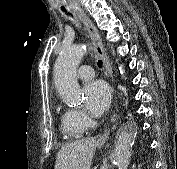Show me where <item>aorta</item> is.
I'll return each mask as SVG.
<instances>
[{
	"instance_id": "aorta-1",
	"label": "aorta",
	"mask_w": 177,
	"mask_h": 169,
	"mask_svg": "<svg viewBox=\"0 0 177 169\" xmlns=\"http://www.w3.org/2000/svg\"><path fill=\"white\" fill-rule=\"evenodd\" d=\"M83 44L64 46L54 66V83L60 98L67 104L79 105L81 89L77 81L76 71L86 53ZM135 140L132 126H127L117 136L114 161L117 169H127L131 157V149Z\"/></svg>"
}]
</instances>
